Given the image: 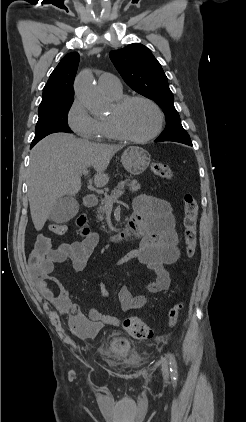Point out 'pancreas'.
I'll list each match as a JSON object with an SVG mask.
<instances>
[{"mask_svg": "<svg viewBox=\"0 0 246 422\" xmlns=\"http://www.w3.org/2000/svg\"><path fill=\"white\" fill-rule=\"evenodd\" d=\"M125 185H128L132 192H137L140 189V184L138 183L137 180L126 179L125 181L118 184L114 188V190L111 191L110 195L105 193L104 198L101 199V203H100V205L97 209V212H98L97 218H98L99 221L103 222V220L105 219V213H106V209H107V206H108V200L117 197L118 194L124 189ZM102 229L107 232L104 225H102Z\"/></svg>", "mask_w": 246, "mask_h": 422, "instance_id": "pancreas-1", "label": "pancreas"}]
</instances>
